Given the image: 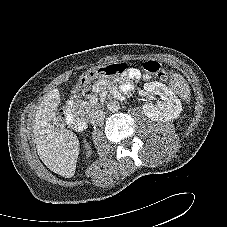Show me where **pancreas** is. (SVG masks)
Instances as JSON below:
<instances>
[{"instance_id":"1","label":"pancreas","mask_w":227,"mask_h":227,"mask_svg":"<svg viewBox=\"0 0 227 227\" xmlns=\"http://www.w3.org/2000/svg\"><path fill=\"white\" fill-rule=\"evenodd\" d=\"M96 106L90 102H79L77 104V108L82 111L83 113H89L91 112Z\"/></svg>"}]
</instances>
